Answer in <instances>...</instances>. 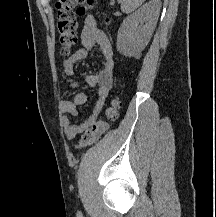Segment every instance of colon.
<instances>
[{"label":"colon","mask_w":216,"mask_h":217,"mask_svg":"<svg viewBox=\"0 0 216 217\" xmlns=\"http://www.w3.org/2000/svg\"><path fill=\"white\" fill-rule=\"evenodd\" d=\"M94 0H56L55 12L60 54L69 57L77 43V17L83 16L92 7ZM106 22L110 19L107 17ZM118 100L114 99L106 109L105 117L93 123L83 134L77 148L95 144L107 131L109 121L117 116Z\"/></svg>","instance_id":"1"}]
</instances>
